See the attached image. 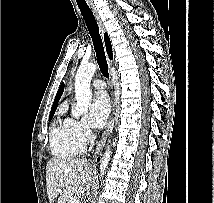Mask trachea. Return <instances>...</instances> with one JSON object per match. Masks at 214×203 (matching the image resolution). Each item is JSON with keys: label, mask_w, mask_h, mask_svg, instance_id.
Returning <instances> with one entry per match:
<instances>
[{"label": "trachea", "mask_w": 214, "mask_h": 203, "mask_svg": "<svg viewBox=\"0 0 214 203\" xmlns=\"http://www.w3.org/2000/svg\"><path fill=\"white\" fill-rule=\"evenodd\" d=\"M78 7L81 11L83 19L86 23V26H87L90 36L92 38L100 71L104 77L108 78L109 77L108 65H107L104 47H103V43H102V39H101V36L99 33V27L96 22V19L93 15L91 9L89 8V6L86 3L85 4L78 3Z\"/></svg>", "instance_id": "1"}]
</instances>
